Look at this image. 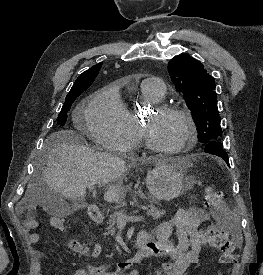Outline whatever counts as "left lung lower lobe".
Instances as JSON below:
<instances>
[{
	"instance_id": "left-lung-lower-lobe-1",
	"label": "left lung lower lobe",
	"mask_w": 263,
	"mask_h": 275,
	"mask_svg": "<svg viewBox=\"0 0 263 275\" xmlns=\"http://www.w3.org/2000/svg\"><path fill=\"white\" fill-rule=\"evenodd\" d=\"M205 152L221 157L229 166V157L219 140L212 141L205 145Z\"/></svg>"
}]
</instances>
